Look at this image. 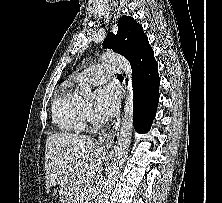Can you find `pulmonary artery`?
I'll list each match as a JSON object with an SVG mask.
<instances>
[{
    "instance_id": "e3ab8cb5",
    "label": "pulmonary artery",
    "mask_w": 222,
    "mask_h": 203,
    "mask_svg": "<svg viewBox=\"0 0 222 203\" xmlns=\"http://www.w3.org/2000/svg\"><path fill=\"white\" fill-rule=\"evenodd\" d=\"M118 72V68L111 64H97L80 72L76 79L81 82L101 84L108 81Z\"/></svg>"
}]
</instances>
